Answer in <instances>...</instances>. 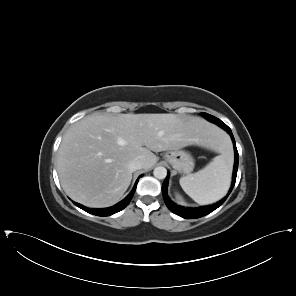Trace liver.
<instances>
[{"instance_id":"liver-1","label":"liver","mask_w":296,"mask_h":296,"mask_svg":"<svg viewBox=\"0 0 296 296\" xmlns=\"http://www.w3.org/2000/svg\"><path fill=\"white\" fill-rule=\"evenodd\" d=\"M218 129L200 117L177 114L90 115L74 123L58 150V175L65 193L87 207H109L128 189L134 159L149 169L153 152L190 145L213 148ZM153 151V152H152Z\"/></svg>"}]
</instances>
